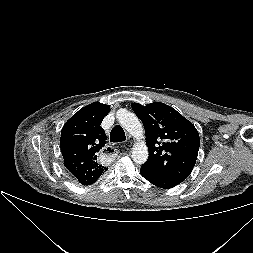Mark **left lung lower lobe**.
Returning a JSON list of instances; mask_svg holds the SVG:
<instances>
[{
  "label": "left lung lower lobe",
  "instance_id": "left-lung-lower-lobe-1",
  "mask_svg": "<svg viewBox=\"0 0 253 253\" xmlns=\"http://www.w3.org/2000/svg\"><path fill=\"white\" fill-rule=\"evenodd\" d=\"M140 173L145 179H147L149 182H151L152 184L160 188L170 189L177 185L173 182H170L168 180H165L153 174H150L149 172L143 170L142 168L140 169Z\"/></svg>",
  "mask_w": 253,
  "mask_h": 253
}]
</instances>
